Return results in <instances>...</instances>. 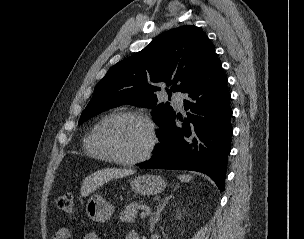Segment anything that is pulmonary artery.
<instances>
[{"label": "pulmonary artery", "instance_id": "1", "mask_svg": "<svg viewBox=\"0 0 304 239\" xmlns=\"http://www.w3.org/2000/svg\"><path fill=\"white\" fill-rule=\"evenodd\" d=\"M173 102L178 108L183 107V102H184V94L181 92H175L173 94Z\"/></svg>", "mask_w": 304, "mask_h": 239}]
</instances>
